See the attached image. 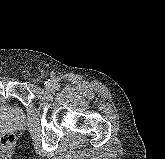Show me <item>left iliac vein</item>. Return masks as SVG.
I'll list each match as a JSON object with an SVG mask.
<instances>
[{"label":"left iliac vein","instance_id":"obj_1","mask_svg":"<svg viewBox=\"0 0 165 159\" xmlns=\"http://www.w3.org/2000/svg\"><path fill=\"white\" fill-rule=\"evenodd\" d=\"M53 87H54V85H53L51 82H48V83L46 84V89H47V90H51Z\"/></svg>","mask_w":165,"mask_h":159}]
</instances>
